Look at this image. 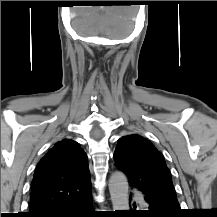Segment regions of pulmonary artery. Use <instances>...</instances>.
<instances>
[{"label": "pulmonary artery", "instance_id": "e3ab8cb5", "mask_svg": "<svg viewBox=\"0 0 217 217\" xmlns=\"http://www.w3.org/2000/svg\"><path fill=\"white\" fill-rule=\"evenodd\" d=\"M137 199L140 204H145V201L141 197L138 196Z\"/></svg>", "mask_w": 217, "mask_h": 217}]
</instances>
